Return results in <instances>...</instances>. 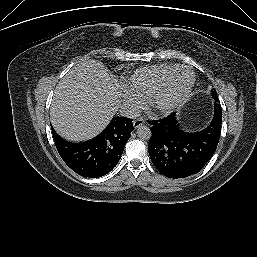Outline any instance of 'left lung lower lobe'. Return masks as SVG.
<instances>
[{"label":"left lung lower lobe","mask_w":257,"mask_h":257,"mask_svg":"<svg viewBox=\"0 0 257 257\" xmlns=\"http://www.w3.org/2000/svg\"><path fill=\"white\" fill-rule=\"evenodd\" d=\"M149 124L148 151L154 166L166 177L185 178L199 172L213 156L221 134L222 109L214 101L211 122L194 132L184 130L175 113Z\"/></svg>","instance_id":"left-lung-lower-lobe-1"}]
</instances>
